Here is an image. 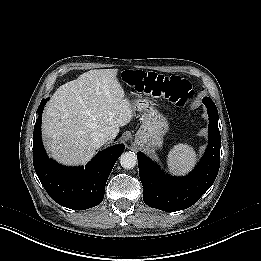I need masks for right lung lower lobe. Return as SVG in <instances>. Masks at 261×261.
Here are the masks:
<instances>
[{"label": "right lung lower lobe", "mask_w": 261, "mask_h": 261, "mask_svg": "<svg viewBox=\"0 0 261 261\" xmlns=\"http://www.w3.org/2000/svg\"><path fill=\"white\" fill-rule=\"evenodd\" d=\"M48 99L42 100L33 133V164L35 172L49 196L58 204L84 210L101 203L106 181L114 164L123 153V144L98 153L85 167H63L46 156L41 140V114Z\"/></svg>", "instance_id": "1"}]
</instances>
